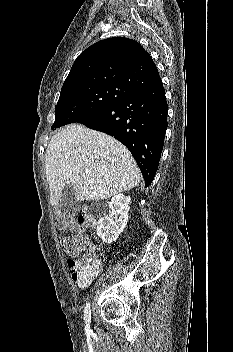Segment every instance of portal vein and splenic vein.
Returning a JSON list of instances; mask_svg holds the SVG:
<instances>
[{
	"label": "portal vein and splenic vein",
	"instance_id": "portal-vein-and-splenic-vein-1",
	"mask_svg": "<svg viewBox=\"0 0 233 352\" xmlns=\"http://www.w3.org/2000/svg\"><path fill=\"white\" fill-rule=\"evenodd\" d=\"M86 173H90V170H86Z\"/></svg>",
	"mask_w": 233,
	"mask_h": 352
}]
</instances>
